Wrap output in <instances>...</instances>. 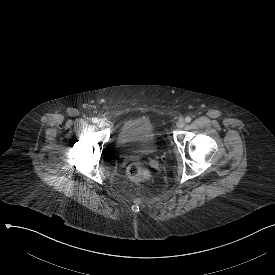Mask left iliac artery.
I'll list each match as a JSON object with an SVG mask.
<instances>
[{"label":"left iliac artery","instance_id":"44dca946","mask_svg":"<svg viewBox=\"0 0 275 275\" xmlns=\"http://www.w3.org/2000/svg\"><path fill=\"white\" fill-rule=\"evenodd\" d=\"M185 120H186L187 123H189L192 119H191V117L188 116V117H186Z\"/></svg>","mask_w":275,"mask_h":275}]
</instances>
